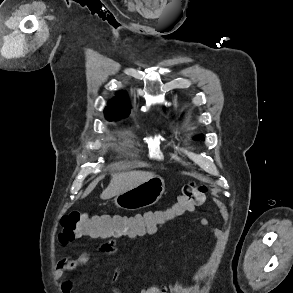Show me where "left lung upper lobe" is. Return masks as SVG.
Instances as JSON below:
<instances>
[{"label": "left lung upper lobe", "mask_w": 293, "mask_h": 293, "mask_svg": "<svg viewBox=\"0 0 293 293\" xmlns=\"http://www.w3.org/2000/svg\"><path fill=\"white\" fill-rule=\"evenodd\" d=\"M196 140L204 139L203 136L195 137Z\"/></svg>", "instance_id": "left-lung-upper-lobe-1"}]
</instances>
